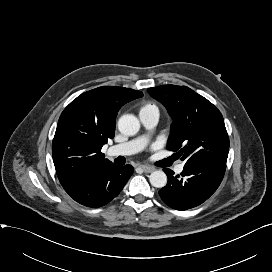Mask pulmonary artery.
I'll return each instance as SVG.
<instances>
[{
	"label": "pulmonary artery",
	"mask_w": 272,
	"mask_h": 272,
	"mask_svg": "<svg viewBox=\"0 0 272 272\" xmlns=\"http://www.w3.org/2000/svg\"><path fill=\"white\" fill-rule=\"evenodd\" d=\"M139 119L142 125L149 131L153 130L159 121V112L157 109L143 110L139 112ZM148 135L138 137L134 140L114 145L107 150L108 156H128L139 152L148 142ZM183 164H178L175 167L177 173L182 172Z\"/></svg>",
	"instance_id": "1"
}]
</instances>
